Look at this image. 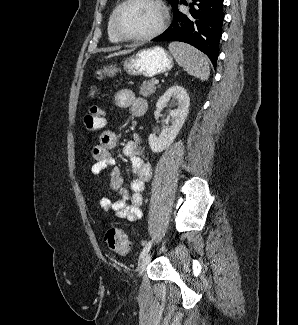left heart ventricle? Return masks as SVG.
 <instances>
[{
    "label": "left heart ventricle",
    "mask_w": 298,
    "mask_h": 325,
    "mask_svg": "<svg viewBox=\"0 0 298 325\" xmlns=\"http://www.w3.org/2000/svg\"><path fill=\"white\" fill-rule=\"evenodd\" d=\"M158 24V15L146 3H133L124 8L118 19L120 31L127 37H139L152 31Z\"/></svg>",
    "instance_id": "obj_1"
}]
</instances>
